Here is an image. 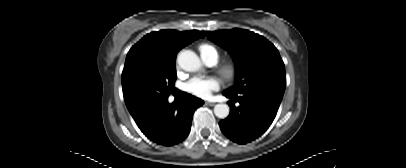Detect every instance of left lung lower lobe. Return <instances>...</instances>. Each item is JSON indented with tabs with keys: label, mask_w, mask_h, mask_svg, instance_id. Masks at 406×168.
I'll list each match as a JSON object with an SVG mask.
<instances>
[{
	"label": "left lung lower lobe",
	"mask_w": 406,
	"mask_h": 168,
	"mask_svg": "<svg viewBox=\"0 0 406 168\" xmlns=\"http://www.w3.org/2000/svg\"><path fill=\"white\" fill-rule=\"evenodd\" d=\"M230 98V114L219 122L222 132L230 140L246 144L262 135L273 122L282 94L274 92L255 91L242 95H233L224 92ZM239 106L235 107V102Z\"/></svg>",
	"instance_id": "obj_1"
}]
</instances>
